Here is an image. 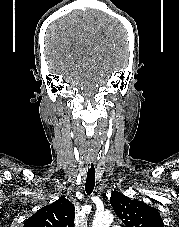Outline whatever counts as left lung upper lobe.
<instances>
[{
	"mask_svg": "<svg viewBox=\"0 0 179 227\" xmlns=\"http://www.w3.org/2000/svg\"><path fill=\"white\" fill-rule=\"evenodd\" d=\"M110 203L126 227H164L159 211L142 201L113 191Z\"/></svg>",
	"mask_w": 179,
	"mask_h": 227,
	"instance_id": "left-lung-upper-lobe-1",
	"label": "left lung upper lobe"
}]
</instances>
